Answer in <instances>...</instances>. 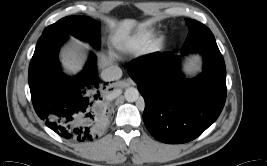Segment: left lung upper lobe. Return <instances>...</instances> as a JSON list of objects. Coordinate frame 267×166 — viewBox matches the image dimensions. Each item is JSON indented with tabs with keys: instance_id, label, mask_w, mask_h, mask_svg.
Instances as JSON below:
<instances>
[{
	"instance_id": "5c2ea615",
	"label": "left lung upper lobe",
	"mask_w": 267,
	"mask_h": 166,
	"mask_svg": "<svg viewBox=\"0 0 267 166\" xmlns=\"http://www.w3.org/2000/svg\"><path fill=\"white\" fill-rule=\"evenodd\" d=\"M186 23L190 31L185 43L182 46V49H185L187 46H189L190 44H192L193 42H195L200 38L213 36L212 32L207 26L196 20L186 19Z\"/></svg>"
}]
</instances>
